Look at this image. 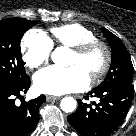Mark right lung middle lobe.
Segmentation results:
<instances>
[{
	"label": "right lung middle lobe",
	"mask_w": 136,
	"mask_h": 136,
	"mask_svg": "<svg viewBox=\"0 0 136 136\" xmlns=\"http://www.w3.org/2000/svg\"><path fill=\"white\" fill-rule=\"evenodd\" d=\"M36 23L21 18L0 22V89L13 88L29 77L22 62L20 42L23 34Z\"/></svg>",
	"instance_id": "1"
}]
</instances>
